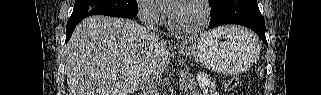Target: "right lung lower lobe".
I'll return each mask as SVG.
<instances>
[{
    "instance_id": "98d812e1",
    "label": "right lung lower lobe",
    "mask_w": 321,
    "mask_h": 95,
    "mask_svg": "<svg viewBox=\"0 0 321 95\" xmlns=\"http://www.w3.org/2000/svg\"><path fill=\"white\" fill-rule=\"evenodd\" d=\"M87 16H90V15H77V16H71V17L69 18V20H68V22H67L66 41H65V42H67V41L70 39V37H71V35H72V33H73L76 25H77L82 19H84V18L87 17ZM113 17L134 18V17H131V16H126V15H115V16H113Z\"/></svg>"
}]
</instances>
